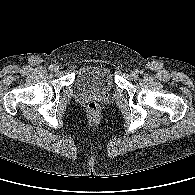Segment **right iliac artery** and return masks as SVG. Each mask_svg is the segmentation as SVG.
<instances>
[{"label":"right iliac artery","instance_id":"right-iliac-artery-1","mask_svg":"<svg viewBox=\"0 0 195 195\" xmlns=\"http://www.w3.org/2000/svg\"><path fill=\"white\" fill-rule=\"evenodd\" d=\"M49 69H50V70H53V69H54V65H50V66H49Z\"/></svg>","mask_w":195,"mask_h":195}]
</instances>
